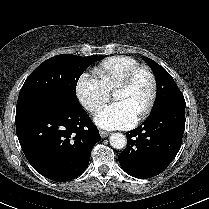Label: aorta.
Segmentation results:
<instances>
[{"instance_id":"obj_1","label":"aorta","mask_w":209,"mask_h":209,"mask_svg":"<svg viewBox=\"0 0 209 209\" xmlns=\"http://www.w3.org/2000/svg\"><path fill=\"white\" fill-rule=\"evenodd\" d=\"M109 141L110 145L115 149H123L127 144V139L122 133H112Z\"/></svg>"}]
</instances>
